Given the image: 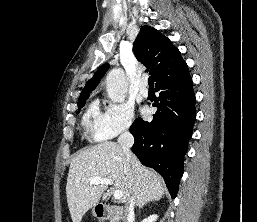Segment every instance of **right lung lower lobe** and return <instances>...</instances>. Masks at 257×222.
<instances>
[{
	"mask_svg": "<svg viewBox=\"0 0 257 222\" xmlns=\"http://www.w3.org/2000/svg\"><path fill=\"white\" fill-rule=\"evenodd\" d=\"M155 90L159 97L153 120L137 118L130 127L135 138L132 152L164 178L175 198L196 115L193 82L187 73L159 82Z\"/></svg>",
	"mask_w": 257,
	"mask_h": 222,
	"instance_id": "98d812e1",
	"label": "right lung lower lobe"
}]
</instances>
